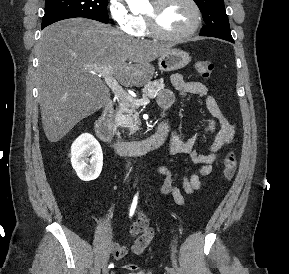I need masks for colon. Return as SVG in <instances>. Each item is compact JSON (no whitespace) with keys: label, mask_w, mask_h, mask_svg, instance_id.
Masks as SVG:
<instances>
[{"label":"colon","mask_w":289,"mask_h":274,"mask_svg":"<svg viewBox=\"0 0 289 274\" xmlns=\"http://www.w3.org/2000/svg\"><path fill=\"white\" fill-rule=\"evenodd\" d=\"M195 69L198 75L202 78H209L214 70V64L210 60H199L195 64ZM237 169V157L233 151L226 154L223 159V176L225 181H230ZM125 268L129 271L138 270V266L134 263H128Z\"/></svg>","instance_id":"1"}]
</instances>
